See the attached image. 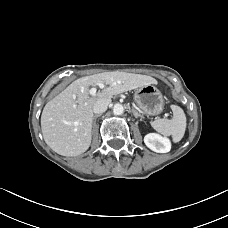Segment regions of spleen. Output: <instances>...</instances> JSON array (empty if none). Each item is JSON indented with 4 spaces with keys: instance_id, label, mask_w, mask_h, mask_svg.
I'll list each match as a JSON object with an SVG mask.
<instances>
[{
    "instance_id": "3e777b00",
    "label": "spleen",
    "mask_w": 228,
    "mask_h": 228,
    "mask_svg": "<svg viewBox=\"0 0 228 228\" xmlns=\"http://www.w3.org/2000/svg\"><path fill=\"white\" fill-rule=\"evenodd\" d=\"M172 119H157L151 123V126L164 136H171L174 142H179L185 133L186 116L182 108L172 105Z\"/></svg>"
}]
</instances>
